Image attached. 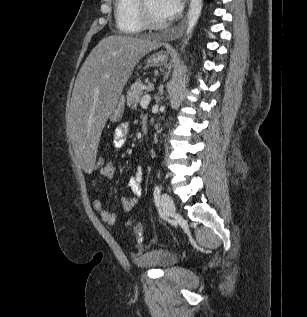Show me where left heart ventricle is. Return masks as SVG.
<instances>
[{
  "label": "left heart ventricle",
  "instance_id": "left-heart-ventricle-1",
  "mask_svg": "<svg viewBox=\"0 0 307 317\" xmlns=\"http://www.w3.org/2000/svg\"><path fill=\"white\" fill-rule=\"evenodd\" d=\"M146 5L152 15V17L159 21V22H164L166 21V17L163 16L159 10H158V7H157V0H146Z\"/></svg>",
  "mask_w": 307,
  "mask_h": 317
}]
</instances>
